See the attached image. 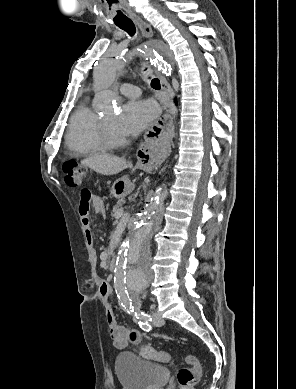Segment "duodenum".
<instances>
[{"mask_svg":"<svg viewBox=\"0 0 296 389\" xmlns=\"http://www.w3.org/2000/svg\"><path fill=\"white\" fill-rule=\"evenodd\" d=\"M109 268L111 271H113L115 268V257L114 256H112L110 261H109Z\"/></svg>","mask_w":296,"mask_h":389,"instance_id":"410a0bca","label":"duodenum"}]
</instances>
